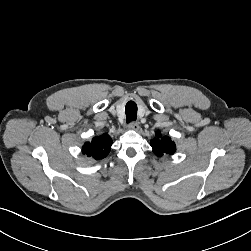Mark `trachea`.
I'll return each instance as SVG.
<instances>
[{"instance_id":"3493384b","label":"trachea","mask_w":251,"mask_h":251,"mask_svg":"<svg viewBox=\"0 0 251 251\" xmlns=\"http://www.w3.org/2000/svg\"><path fill=\"white\" fill-rule=\"evenodd\" d=\"M126 121L130 123L137 118V105L134 101H129L125 107Z\"/></svg>"}]
</instances>
